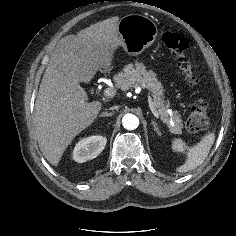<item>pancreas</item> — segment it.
Listing matches in <instances>:
<instances>
[{
	"label": "pancreas",
	"instance_id": "1",
	"mask_svg": "<svg viewBox=\"0 0 236 236\" xmlns=\"http://www.w3.org/2000/svg\"><path fill=\"white\" fill-rule=\"evenodd\" d=\"M116 86L122 90L143 86L153 95L154 105L161 119L168 125L172 133H182V119L177 111L172 112V121L169 119V103L164 100V89L161 82L158 81L156 74L151 70H146L145 66L140 63L125 66L123 72L114 77Z\"/></svg>",
	"mask_w": 236,
	"mask_h": 236
}]
</instances>
